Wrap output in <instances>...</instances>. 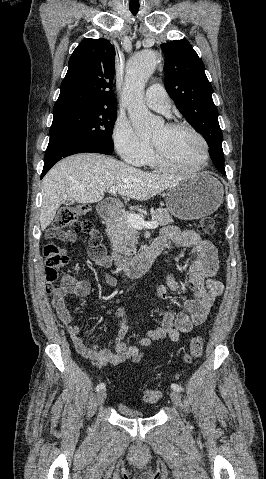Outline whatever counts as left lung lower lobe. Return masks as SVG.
<instances>
[{"mask_svg": "<svg viewBox=\"0 0 266 479\" xmlns=\"http://www.w3.org/2000/svg\"><path fill=\"white\" fill-rule=\"evenodd\" d=\"M221 173H222L223 175H226V173H225V172H221Z\"/></svg>", "mask_w": 266, "mask_h": 479, "instance_id": "obj_1", "label": "left lung lower lobe"}]
</instances>
